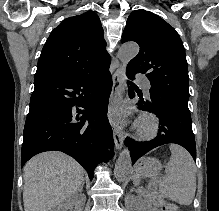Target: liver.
Segmentation results:
<instances>
[{
    "label": "liver",
    "instance_id": "1",
    "mask_svg": "<svg viewBox=\"0 0 219 211\" xmlns=\"http://www.w3.org/2000/svg\"><path fill=\"white\" fill-rule=\"evenodd\" d=\"M23 173L25 211H52L82 187L85 169L62 151H44L25 163Z\"/></svg>",
    "mask_w": 219,
    "mask_h": 211
}]
</instances>
